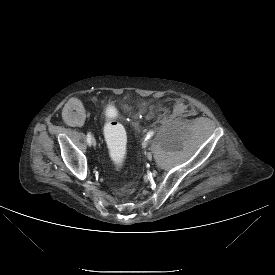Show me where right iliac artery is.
<instances>
[{"label": "right iliac artery", "mask_w": 275, "mask_h": 275, "mask_svg": "<svg viewBox=\"0 0 275 275\" xmlns=\"http://www.w3.org/2000/svg\"><path fill=\"white\" fill-rule=\"evenodd\" d=\"M87 143H88V145H91V133L90 132L87 134Z\"/></svg>", "instance_id": "82829eb1"}]
</instances>
